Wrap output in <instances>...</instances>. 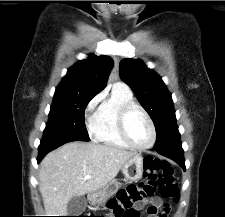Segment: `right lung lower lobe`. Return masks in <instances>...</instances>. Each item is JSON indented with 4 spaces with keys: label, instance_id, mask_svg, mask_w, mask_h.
Returning a JSON list of instances; mask_svg holds the SVG:
<instances>
[{
    "label": "right lung lower lobe",
    "instance_id": "1",
    "mask_svg": "<svg viewBox=\"0 0 225 217\" xmlns=\"http://www.w3.org/2000/svg\"><path fill=\"white\" fill-rule=\"evenodd\" d=\"M71 141H77L73 139H60V138H49V139H42L39 150L38 162L51 150Z\"/></svg>",
    "mask_w": 225,
    "mask_h": 217
}]
</instances>
